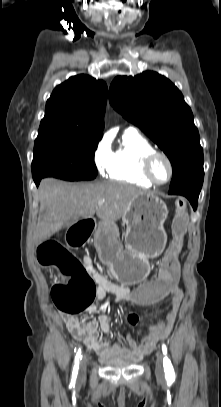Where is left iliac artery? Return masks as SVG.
<instances>
[{"label":"left iliac artery","instance_id":"44dca946","mask_svg":"<svg viewBox=\"0 0 221 407\" xmlns=\"http://www.w3.org/2000/svg\"><path fill=\"white\" fill-rule=\"evenodd\" d=\"M162 351H163V354L165 355L164 360H163L165 375L167 378H172V377H174V369H173L170 359L167 356V347L165 344H162Z\"/></svg>","mask_w":221,"mask_h":407}]
</instances>
